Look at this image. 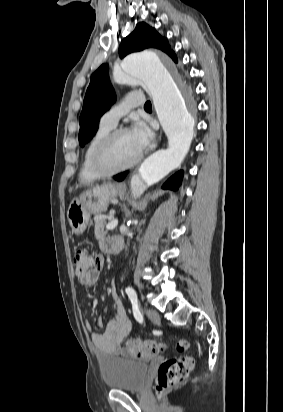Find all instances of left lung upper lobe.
<instances>
[{
  "label": "left lung upper lobe",
  "mask_w": 283,
  "mask_h": 412,
  "mask_svg": "<svg viewBox=\"0 0 283 412\" xmlns=\"http://www.w3.org/2000/svg\"><path fill=\"white\" fill-rule=\"evenodd\" d=\"M146 48H157L171 56L177 62V57L171 51L165 37L159 35L154 28L146 23H139L134 31L128 35L119 47L120 57L129 53L138 52ZM116 100L113 87L109 81L108 65H101L91 76L87 89L83 109L80 115L79 143L84 146L98 130L97 120L110 108Z\"/></svg>",
  "instance_id": "obj_1"
}]
</instances>
